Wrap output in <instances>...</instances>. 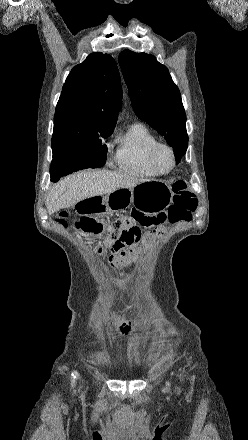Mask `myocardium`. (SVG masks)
<instances>
[{
    "mask_svg": "<svg viewBox=\"0 0 248 440\" xmlns=\"http://www.w3.org/2000/svg\"><path fill=\"white\" fill-rule=\"evenodd\" d=\"M161 150L168 151L171 155V158H172V164L167 169L162 168L161 165L159 164L158 156H159V153ZM148 161H149L150 165L152 166V168L155 169L158 173L167 174L175 168V166L177 164V157H176V153H175L173 147H171L170 145H168L166 143L158 142L155 145H153L151 147V149L149 150Z\"/></svg>",
    "mask_w": 248,
    "mask_h": 440,
    "instance_id": "obj_1",
    "label": "myocardium"
}]
</instances>
